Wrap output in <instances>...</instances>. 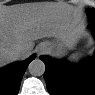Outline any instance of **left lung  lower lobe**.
Masks as SVG:
<instances>
[{"mask_svg":"<svg viewBox=\"0 0 95 95\" xmlns=\"http://www.w3.org/2000/svg\"><path fill=\"white\" fill-rule=\"evenodd\" d=\"M90 28L95 31V15L88 14ZM45 63L44 79L47 89L53 95H95V60H88L79 66L40 57Z\"/></svg>","mask_w":95,"mask_h":95,"instance_id":"0a47b994","label":"left lung lower lobe"}]
</instances>
